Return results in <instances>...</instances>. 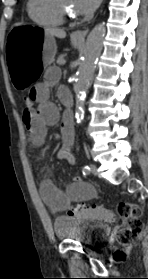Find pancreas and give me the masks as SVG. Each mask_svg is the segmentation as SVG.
Returning a JSON list of instances; mask_svg holds the SVG:
<instances>
[{
	"label": "pancreas",
	"mask_w": 148,
	"mask_h": 279,
	"mask_svg": "<svg viewBox=\"0 0 148 279\" xmlns=\"http://www.w3.org/2000/svg\"><path fill=\"white\" fill-rule=\"evenodd\" d=\"M64 58H65V55L59 56L58 59H57V63L59 65H63L65 63V59Z\"/></svg>",
	"instance_id": "cf45deb5"
}]
</instances>
